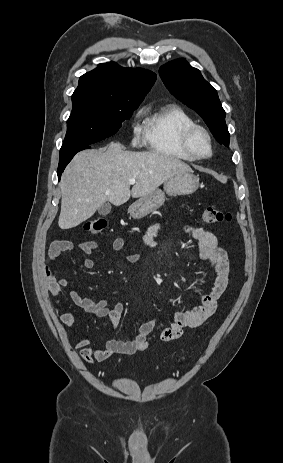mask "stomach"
Segmentation results:
<instances>
[{
    "mask_svg": "<svg viewBox=\"0 0 283 463\" xmlns=\"http://www.w3.org/2000/svg\"><path fill=\"white\" fill-rule=\"evenodd\" d=\"M199 186V178L187 172L171 177L164 183V191L156 189L152 193L139 198L129 207V214L134 219H141L160 208L166 195H188L194 193Z\"/></svg>",
    "mask_w": 283,
    "mask_h": 463,
    "instance_id": "stomach-1",
    "label": "stomach"
}]
</instances>
